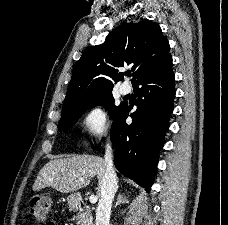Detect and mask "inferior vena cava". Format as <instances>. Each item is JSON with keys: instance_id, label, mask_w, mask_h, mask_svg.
I'll return each instance as SVG.
<instances>
[{"instance_id": "inferior-vena-cava-1", "label": "inferior vena cava", "mask_w": 228, "mask_h": 225, "mask_svg": "<svg viewBox=\"0 0 228 225\" xmlns=\"http://www.w3.org/2000/svg\"><path fill=\"white\" fill-rule=\"evenodd\" d=\"M104 161L106 163V169L103 181L100 183L101 191L96 209V225H110L112 201L118 189L110 145H106Z\"/></svg>"}]
</instances>
